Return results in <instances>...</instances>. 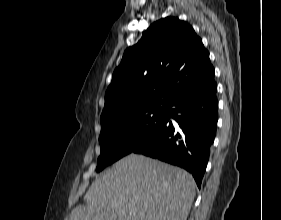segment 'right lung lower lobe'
I'll use <instances>...</instances> for the list:
<instances>
[{"label": "right lung lower lobe", "instance_id": "obj_1", "mask_svg": "<svg viewBox=\"0 0 281 220\" xmlns=\"http://www.w3.org/2000/svg\"><path fill=\"white\" fill-rule=\"evenodd\" d=\"M217 84L186 93L167 108L159 131L132 152L168 162L192 174L200 188L217 125ZM178 126L174 127L169 118Z\"/></svg>", "mask_w": 281, "mask_h": 220}]
</instances>
